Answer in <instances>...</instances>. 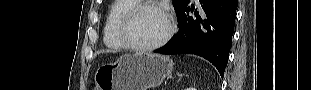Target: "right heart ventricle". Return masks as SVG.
<instances>
[{
    "label": "right heart ventricle",
    "instance_id": "right-heart-ventricle-1",
    "mask_svg": "<svg viewBox=\"0 0 311 90\" xmlns=\"http://www.w3.org/2000/svg\"><path fill=\"white\" fill-rule=\"evenodd\" d=\"M138 3L137 0H116L111 4L103 28V39L106 47L111 50L126 48L118 35L119 22L122 16Z\"/></svg>",
    "mask_w": 311,
    "mask_h": 90
}]
</instances>
